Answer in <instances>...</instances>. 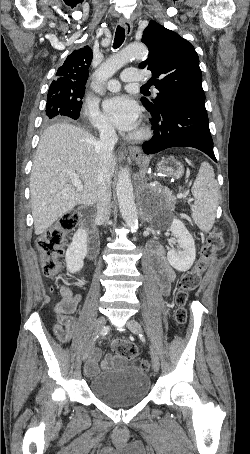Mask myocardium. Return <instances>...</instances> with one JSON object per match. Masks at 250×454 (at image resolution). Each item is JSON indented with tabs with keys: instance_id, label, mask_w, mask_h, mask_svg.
Masks as SVG:
<instances>
[{
	"instance_id": "myocardium-1",
	"label": "myocardium",
	"mask_w": 250,
	"mask_h": 454,
	"mask_svg": "<svg viewBox=\"0 0 250 454\" xmlns=\"http://www.w3.org/2000/svg\"><path fill=\"white\" fill-rule=\"evenodd\" d=\"M149 135V130L146 127H140L137 131L129 135L131 140H143Z\"/></svg>"
}]
</instances>
